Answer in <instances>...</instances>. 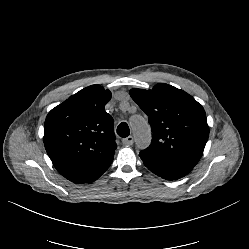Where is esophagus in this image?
Masks as SVG:
<instances>
[{
    "mask_svg": "<svg viewBox=\"0 0 249 249\" xmlns=\"http://www.w3.org/2000/svg\"><path fill=\"white\" fill-rule=\"evenodd\" d=\"M122 143L126 146H131L134 143V139L132 136H128L122 140Z\"/></svg>",
    "mask_w": 249,
    "mask_h": 249,
    "instance_id": "obj_1",
    "label": "esophagus"
}]
</instances>
